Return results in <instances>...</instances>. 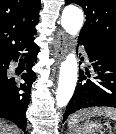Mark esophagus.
<instances>
[{
	"label": "esophagus",
	"mask_w": 116,
	"mask_h": 134,
	"mask_svg": "<svg viewBox=\"0 0 116 134\" xmlns=\"http://www.w3.org/2000/svg\"><path fill=\"white\" fill-rule=\"evenodd\" d=\"M67 37L63 31L57 33V40L54 46V56L59 62L66 54Z\"/></svg>",
	"instance_id": "obj_1"
}]
</instances>
